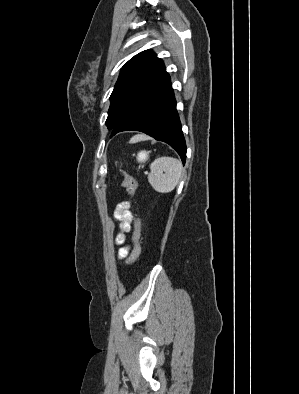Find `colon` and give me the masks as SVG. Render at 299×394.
Returning a JSON list of instances; mask_svg holds the SVG:
<instances>
[{"instance_id":"obj_1","label":"colon","mask_w":299,"mask_h":394,"mask_svg":"<svg viewBox=\"0 0 299 394\" xmlns=\"http://www.w3.org/2000/svg\"><path fill=\"white\" fill-rule=\"evenodd\" d=\"M121 186L126 190L128 196L132 198L136 192L137 189V182L136 180L129 176L125 175L121 179ZM134 230H133V235H132V242H133V247L132 251L130 254V257L128 259V265H131L136 262V260L139 258L140 253H141V247H140V232H141V225H140V219L137 216H134Z\"/></svg>"}]
</instances>
